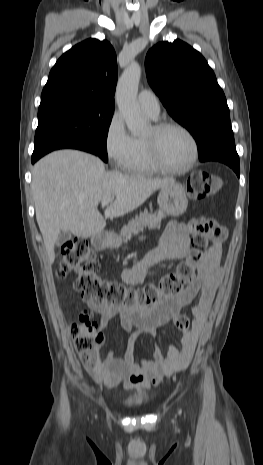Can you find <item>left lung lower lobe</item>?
I'll return each mask as SVG.
<instances>
[{"mask_svg":"<svg viewBox=\"0 0 263 465\" xmlns=\"http://www.w3.org/2000/svg\"><path fill=\"white\" fill-rule=\"evenodd\" d=\"M199 159L202 162L220 161L222 163H225L235 171L238 177L240 176L239 156L236 152L235 145L219 146L210 151L207 155L200 157Z\"/></svg>","mask_w":263,"mask_h":465,"instance_id":"0a47b994","label":"left lung lower lobe"}]
</instances>
